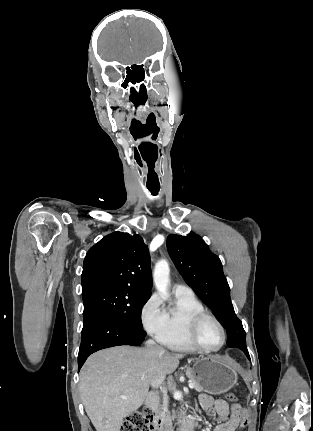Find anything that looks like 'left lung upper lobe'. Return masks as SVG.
Wrapping results in <instances>:
<instances>
[{"label": "left lung upper lobe", "mask_w": 313, "mask_h": 431, "mask_svg": "<svg viewBox=\"0 0 313 431\" xmlns=\"http://www.w3.org/2000/svg\"><path fill=\"white\" fill-rule=\"evenodd\" d=\"M167 250L177 270L227 330V345L240 348L249 358L246 333L230 299V288L218 256L199 235L167 238Z\"/></svg>", "instance_id": "1"}]
</instances>
